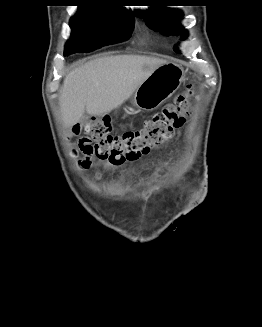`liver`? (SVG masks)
Masks as SVG:
<instances>
[{
  "mask_svg": "<svg viewBox=\"0 0 262 327\" xmlns=\"http://www.w3.org/2000/svg\"><path fill=\"white\" fill-rule=\"evenodd\" d=\"M163 59L141 55H115L91 60L66 75L60 97L65 127L87 112L101 116L124 103Z\"/></svg>",
  "mask_w": 262,
  "mask_h": 327,
  "instance_id": "1",
  "label": "liver"
}]
</instances>
